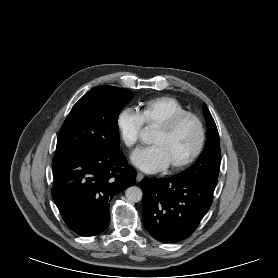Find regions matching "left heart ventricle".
Wrapping results in <instances>:
<instances>
[{"instance_id":"left-heart-ventricle-1","label":"left heart ventricle","mask_w":278,"mask_h":278,"mask_svg":"<svg viewBox=\"0 0 278 278\" xmlns=\"http://www.w3.org/2000/svg\"><path fill=\"white\" fill-rule=\"evenodd\" d=\"M198 141V130L192 120L181 123L174 131L166 133L157 128L152 136L151 142L159 145L169 165L178 162L192 153Z\"/></svg>"}]
</instances>
